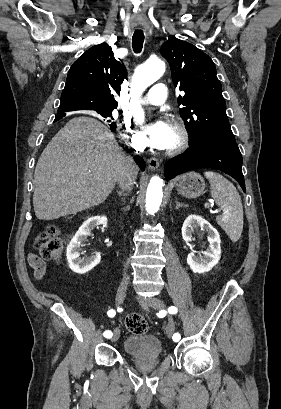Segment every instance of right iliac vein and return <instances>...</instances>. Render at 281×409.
<instances>
[{"mask_svg": "<svg viewBox=\"0 0 281 409\" xmlns=\"http://www.w3.org/2000/svg\"><path fill=\"white\" fill-rule=\"evenodd\" d=\"M126 290H127V285L125 283H121L120 286L117 289L116 298H115L117 306H120L123 303V301L125 299V296H126ZM119 336H120V330L115 329L114 330V335L111 338V341L112 342L117 341Z\"/></svg>", "mask_w": 281, "mask_h": 409, "instance_id": "right-iliac-vein-1", "label": "right iliac vein"}]
</instances>
